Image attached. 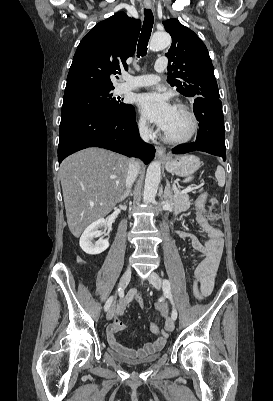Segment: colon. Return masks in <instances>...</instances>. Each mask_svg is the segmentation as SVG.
<instances>
[{
  "label": "colon",
  "instance_id": "colon-1",
  "mask_svg": "<svg viewBox=\"0 0 273 401\" xmlns=\"http://www.w3.org/2000/svg\"><path fill=\"white\" fill-rule=\"evenodd\" d=\"M217 205V199L213 198L212 199V208H215ZM220 236V234H216L215 237L218 238ZM136 305L138 307H144L145 306V299L143 298V294H137L136 295ZM143 310V309H142Z\"/></svg>",
  "mask_w": 273,
  "mask_h": 401
}]
</instances>
